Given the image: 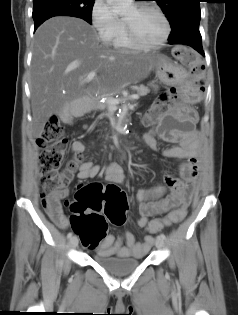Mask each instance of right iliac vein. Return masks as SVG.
I'll return each instance as SVG.
<instances>
[{"instance_id": "obj_1", "label": "right iliac vein", "mask_w": 238, "mask_h": 315, "mask_svg": "<svg viewBox=\"0 0 238 315\" xmlns=\"http://www.w3.org/2000/svg\"><path fill=\"white\" fill-rule=\"evenodd\" d=\"M78 237L77 236H73L71 239H70V244L73 248H76L78 246Z\"/></svg>"}]
</instances>
